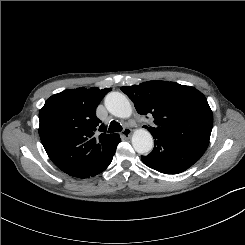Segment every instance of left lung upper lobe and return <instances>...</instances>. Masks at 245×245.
Wrapping results in <instances>:
<instances>
[{
	"label": "left lung upper lobe",
	"mask_w": 245,
	"mask_h": 245,
	"mask_svg": "<svg viewBox=\"0 0 245 245\" xmlns=\"http://www.w3.org/2000/svg\"><path fill=\"white\" fill-rule=\"evenodd\" d=\"M141 115L152 114L155 127L152 135L182 139L208 147L213 126V114L205 96L194 87L175 82L148 81L140 85L123 86Z\"/></svg>",
	"instance_id": "obj_1"
}]
</instances>
